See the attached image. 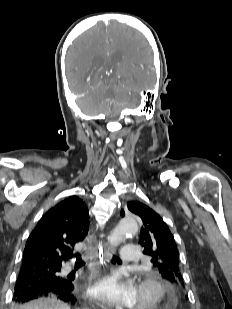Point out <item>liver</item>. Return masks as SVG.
Returning <instances> with one entry per match:
<instances>
[{
    "label": "liver",
    "instance_id": "1",
    "mask_svg": "<svg viewBox=\"0 0 232 309\" xmlns=\"http://www.w3.org/2000/svg\"><path fill=\"white\" fill-rule=\"evenodd\" d=\"M18 309H70V307L56 299L43 298L28 302Z\"/></svg>",
    "mask_w": 232,
    "mask_h": 309
}]
</instances>
